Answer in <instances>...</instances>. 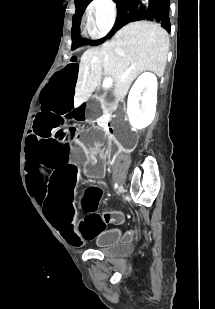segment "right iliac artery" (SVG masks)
<instances>
[{
	"label": "right iliac artery",
	"instance_id": "82829eb1",
	"mask_svg": "<svg viewBox=\"0 0 215 309\" xmlns=\"http://www.w3.org/2000/svg\"><path fill=\"white\" fill-rule=\"evenodd\" d=\"M114 187H115V189H117V187H118V184H117V183H115Z\"/></svg>",
	"mask_w": 215,
	"mask_h": 309
}]
</instances>
